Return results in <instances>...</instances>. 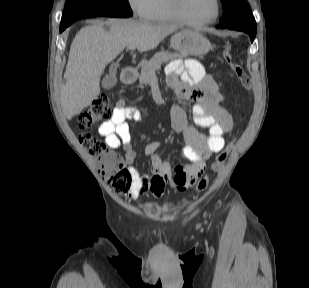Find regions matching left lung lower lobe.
<instances>
[{"instance_id":"obj_1","label":"left lung lower lobe","mask_w":309,"mask_h":288,"mask_svg":"<svg viewBox=\"0 0 309 288\" xmlns=\"http://www.w3.org/2000/svg\"><path fill=\"white\" fill-rule=\"evenodd\" d=\"M221 28H228L234 30L244 31L249 34L251 42H253L255 35H256V22L253 16L245 17L239 19L231 24L228 25H220Z\"/></svg>"}]
</instances>
